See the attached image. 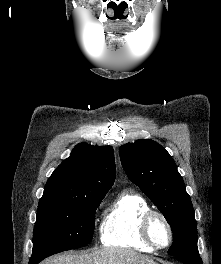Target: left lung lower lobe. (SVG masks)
I'll list each match as a JSON object with an SVG mask.
<instances>
[{
	"mask_svg": "<svg viewBox=\"0 0 221 264\" xmlns=\"http://www.w3.org/2000/svg\"><path fill=\"white\" fill-rule=\"evenodd\" d=\"M178 258L185 264H203L199 256H179Z\"/></svg>",
	"mask_w": 221,
	"mask_h": 264,
	"instance_id": "left-lung-lower-lobe-1",
	"label": "left lung lower lobe"
}]
</instances>
